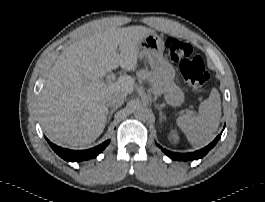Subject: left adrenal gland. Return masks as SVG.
<instances>
[{"instance_id": "left-adrenal-gland-1", "label": "left adrenal gland", "mask_w": 265, "mask_h": 202, "mask_svg": "<svg viewBox=\"0 0 265 202\" xmlns=\"http://www.w3.org/2000/svg\"><path fill=\"white\" fill-rule=\"evenodd\" d=\"M155 107L159 110V116H160L159 120H160V122H163L165 120V116H164V114H163V112L161 110V107L158 104H155Z\"/></svg>"}]
</instances>
